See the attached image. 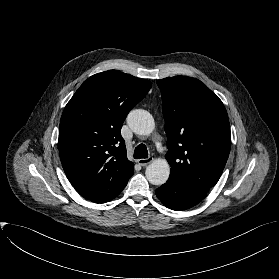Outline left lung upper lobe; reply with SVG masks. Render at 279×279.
I'll use <instances>...</instances> for the list:
<instances>
[{
    "mask_svg": "<svg viewBox=\"0 0 279 279\" xmlns=\"http://www.w3.org/2000/svg\"><path fill=\"white\" fill-rule=\"evenodd\" d=\"M170 177L208 192L219 180L231 147L222 101L200 80L160 79Z\"/></svg>",
    "mask_w": 279,
    "mask_h": 279,
    "instance_id": "1",
    "label": "left lung upper lobe"
}]
</instances>
